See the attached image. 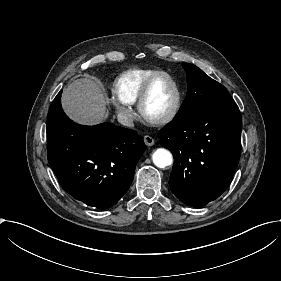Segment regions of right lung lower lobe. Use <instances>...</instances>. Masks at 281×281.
<instances>
[{
  "mask_svg": "<svg viewBox=\"0 0 281 281\" xmlns=\"http://www.w3.org/2000/svg\"><path fill=\"white\" fill-rule=\"evenodd\" d=\"M62 90L49 107L48 161L62 188L88 206L107 209L130 187L145 151L134 131L109 123L83 126L61 107Z\"/></svg>",
  "mask_w": 281,
  "mask_h": 281,
  "instance_id": "right-lung-lower-lobe-1",
  "label": "right lung lower lobe"
}]
</instances>
